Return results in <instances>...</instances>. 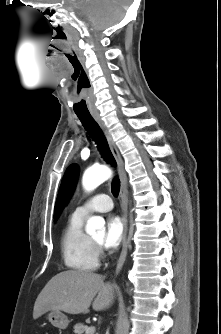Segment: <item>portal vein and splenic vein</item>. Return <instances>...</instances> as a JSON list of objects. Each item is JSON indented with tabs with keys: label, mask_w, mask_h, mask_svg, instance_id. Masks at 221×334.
I'll return each mask as SVG.
<instances>
[{
	"label": "portal vein and splenic vein",
	"mask_w": 221,
	"mask_h": 334,
	"mask_svg": "<svg viewBox=\"0 0 221 334\" xmlns=\"http://www.w3.org/2000/svg\"><path fill=\"white\" fill-rule=\"evenodd\" d=\"M95 332V327L94 326H90L88 328V330L86 331L87 334H93Z\"/></svg>",
	"instance_id": "18ae733b"
}]
</instances>
